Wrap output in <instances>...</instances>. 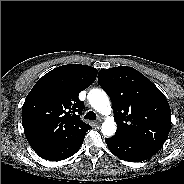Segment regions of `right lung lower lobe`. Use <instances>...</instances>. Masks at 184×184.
Here are the masks:
<instances>
[{"instance_id": "right-lung-lower-lobe-1", "label": "right lung lower lobe", "mask_w": 184, "mask_h": 184, "mask_svg": "<svg viewBox=\"0 0 184 184\" xmlns=\"http://www.w3.org/2000/svg\"><path fill=\"white\" fill-rule=\"evenodd\" d=\"M84 138L79 141L57 146L41 152H36L40 157L49 161H60L74 155L83 143Z\"/></svg>"}]
</instances>
